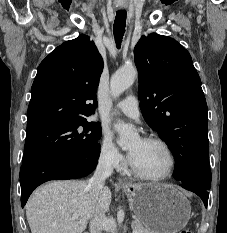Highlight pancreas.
<instances>
[{"mask_svg":"<svg viewBox=\"0 0 227 233\" xmlns=\"http://www.w3.org/2000/svg\"><path fill=\"white\" fill-rule=\"evenodd\" d=\"M132 228L135 233H151L148 229H146L139 220H134L132 222Z\"/></svg>","mask_w":227,"mask_h":233,"instance_id":"pancreas-1","label":"pancreas"}]
</instances>
